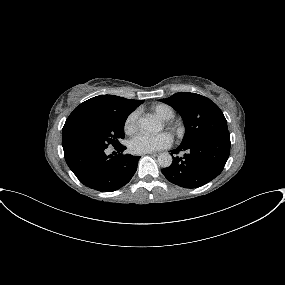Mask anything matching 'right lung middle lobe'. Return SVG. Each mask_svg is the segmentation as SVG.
<instances>
[{
  "mask_svg": "<svg viewBox=\"0 0 285 285\" xmlns=\"http://www.w3.org/2000/svg\"><path fill=\"white\" fill-rule=\"evenodd\" d=\"M127 116L128 114L109 115L84 126L73 135L71 146H119V140L124 138Z\"/></svg>",
  "mask_w": 285,
  "mask_h": 285,
  "instance_id": "right-lung-middle-lobe-1",
  "label": "right lung middle lobe"
}]
</instances>
